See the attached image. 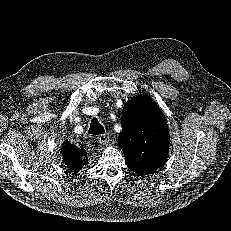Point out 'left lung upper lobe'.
Wrapping results in <instances>:
<instances>
[{
	"label": "left lung upper lobe",
	"instance_id": "5c2ea615",
	"mask_svg": "<svg viewBox=\"0 0 231 231\" xmlns=\"http://www.w3.org/2000/svg\"><path fill=\"white\" fill-rule=\"evenodd\" d=\"M121 124L118 145L130 169L148 175L164 165L169 133L164 115L150 97L137 96L127 102Z\"/></svg>",
	"mask_w": 231,
	"mask_h": 231
}]
</instances>
